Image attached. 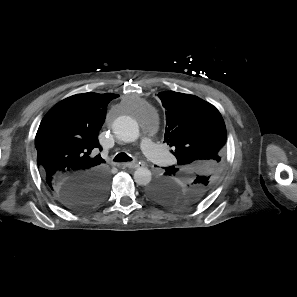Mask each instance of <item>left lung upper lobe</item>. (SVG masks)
I'll list each match as a JSON object with an SVG mask.
<instances>
[{"label":"left lung upper lobe","mask_w":297,"mask_h":297,"mask_svg":"<svg viewBox=\"0 0 297 297\" xmlns=\"http://www.w3.org/2000/svg\"><path fill=\"white\" fill-rule=\"evenodd\" d=\"M165 108V142L177 165L165 169L149 186L151 199L174 208L200 201L223 169L226 127L219 111L199 97L165 91L158 93Z\"/></svg>","instance_id":"left-lung-upper-lobe-1"}]
</instances>
